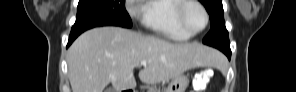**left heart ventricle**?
I'll list each match as a JSON object with an SVG mask.
<instances>
[{"mask_svg":"<svg viewBox=\"0 0 296 92\" xmlns=\"http://www.w3.org/2000/svg\"><path fill=\"white\" fill-rule=\"evenodd\" d=\"M185 21L191 31H198L205 24L202 10L196 5H190L185 12Z\"/></svg>","mask_w":296,"mask_h":92,"instance_id":"left-heart-ventricle-1","label":"left heart ventricle"}]
</instances>
